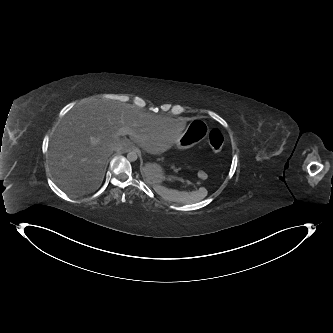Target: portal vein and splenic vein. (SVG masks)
Returning a JSON list of instances; mask_svg holds the SVG:
<instances>
[{
  "instance_id": "obj_1",
  "label": "portal vein and splenic vein",
  "mask_w": 333,
  "mask_h": 333,
  "mask_svg": "<svg viewBox=\"0 0 333 333\" xmlns=\"http://www.w3.org/2000/svg\"><path fill=\"white\" fill-rule=\"evenodd\" d=\"M131 133V130L128 127H121L118 132L116 133V136H125L129 135Z\"/></svg>"
}]
</instances>
